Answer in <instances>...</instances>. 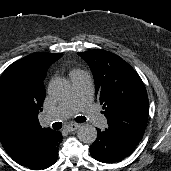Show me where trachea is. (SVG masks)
Returning <instances> with one entry per match:
<instances>
[{
    "mask_svg": "<svg viewBox=\"0 0 171 171\" xmlns=\"http://www.w3.org/2000/svg\"><path fill=\"white\" fill-rule=\"evenodd\" d=\"M75 121L77 123L85 122L86 121V117H84V116H78V117L75 118ZM61 127H62V123L61 122H55V123L52 124V128L54 130H59V129H61Z\"/></svg>",
    "mask_w": 171,
    "mask_h": 171,
    "instance_id": "1",
    "label": "trachea"
}]
</instances>
